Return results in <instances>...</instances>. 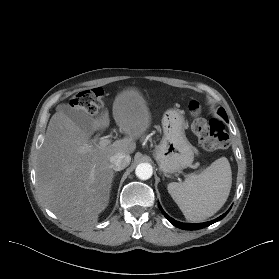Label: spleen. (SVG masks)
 <instances>
[{"label":"spleen","instance_id":"3e777b00","mask_svg":"<svg viewBox=\"0 0 279 279\" xmlns=\"http://www.w3.org/2000/svg\"><path fill=\"white\" fill-rule=\"evenodd\" d=\"M232 186L228 159L215 160L199 174H190L184 182L168 184V192L185 218L202 222L219 211L227 201Z\"/></svg>","mask_w":279,"mask_h":279}]
</instances>
